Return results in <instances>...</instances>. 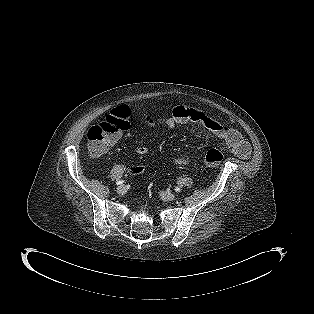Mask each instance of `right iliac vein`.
Segmentation results:
<instances>
[{
	"label": "right iliac vein",
	"mask_w": 314,
	"mask_h": 314,
	"mask_svg": "<svg viewBox=\"0 0 314 314\" xmlns=\"http://www.w3.org/2000/svg\"><path fill=\"white\" fill-rule=\"evenodd\" d=\"M126 192V187L125 186H119L117 187V193L120 195H123Z\"/></svg>",
	"instance_id": "obj_1"
}]
</instances>
